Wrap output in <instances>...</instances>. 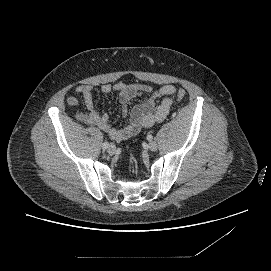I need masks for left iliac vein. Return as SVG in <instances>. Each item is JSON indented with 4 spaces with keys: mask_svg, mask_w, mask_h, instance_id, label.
<instances>
[{
    "mask_svg": "<svg viewBox=\"0 0 271 271\" xmlns=\"http://www.w3.org/2000/svg\"><path fill=\"white\" fill-rule=\"evenodd\" d=\"M148 148H149V150H151V151H156L157 148H158V145H157L156 142H150V143L148 144Z\"/></svg>",
    "mask_w": 271,
    "mask_h": 271,
    "instance_id": "1",
    "label": "left iliac vein"
}]
</instances>
